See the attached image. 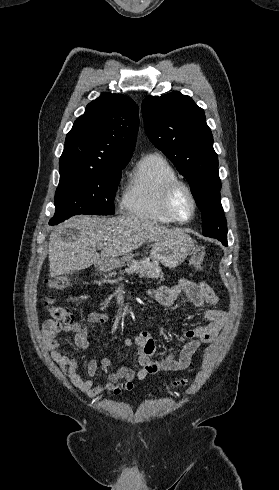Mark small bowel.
<instances>
[{"instance_id": "1", "label": "small bowel", "mask_w": 279, "mask_h": 490, "mask_svg": "<svg viewBox=\"0 0 279 490\" xmlns=\"http://www.w3.org/2000/svg\"><path fill=\"white\" fill-rule=\"evenodd\" d=\"M184 292L188 299L202 309V314L207 321L204 325L187 330L184 335L188 341L177 351L170 353L163 360H153L155 353V340L148 331H142L134 337H128L123 341L125 347H136L138 350L139 371L123 366L117 371H111V361L107 358L100 363L101 373L107 382L100 386H94L93 378L99 374L98 363L91 360L87 363L86 371L89 379H84L77 372L79 363L72 354H63L59 340L60 334H72L77 348L86 349L88 346V330L98 324L108 321V314L100 311L91 312L84 319L72 324H61L54 320H46L41 327L42 340L45 347L51 352V356L59 368L69 378L73 386L81 393L96 397L103 392L115 394L127 392L133 388V380L137 377L144 379L148 374L161 371H178L189 367L194 355L202 345L212 342L219 334L227 321L225 311L209 309L208 305H215L219 298L205 282H195L181 279L170 287H158L147 291L148 296L162 306L169 307L174 304L179 295ZM145 320L153 322L154 316L147 314Z\"/></svg>"}]
</instances>
